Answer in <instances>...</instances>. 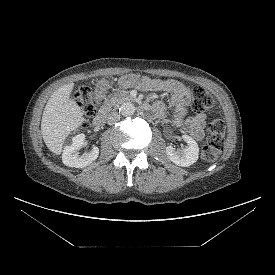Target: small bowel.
<instances>
[{"label":"small bowel","mask_w":275,"mask_h":275,"mask_svg":"<svg viewBox=\"0 0 275 275\" xmlns=\"http://www.w3.org/2000/svg\"><path fill=\"white\" fill-rule=\"evenodd\" d=\"M120 85L124 88L136 87L146 91L171 93L173 106L171 123L176 127H181L197 141L204 138L206 115L199 112L194 116H189L191 93L181 82L173 79H150L130 74L120 79ZM165 110L166 104L163 101L155 102L152 108L153 113L160 118L164 117Z\"/></svg>","instance_id":"1"}]
</instances>
